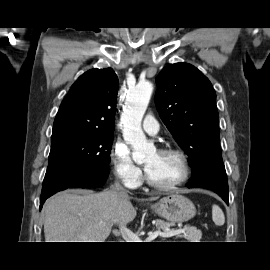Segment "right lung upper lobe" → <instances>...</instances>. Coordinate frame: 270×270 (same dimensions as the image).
<instances>
[{"label":"right lung upper lobe","mask_w":270,"mask_h":270,"mask_svg":"<svg viewBox=\"0 0 270 270\" xmlns=\"http://www.w3.org/2000/svg\"><path fill=\"white\" fill-rule=\"evenodd\" d=\"M118 86L117 75L111 68L85 72L62 101L53 131L73 128L113 132Z\"/></svg>","instance_id":"right-lung-upper-lobe-1"}]
</instances>
